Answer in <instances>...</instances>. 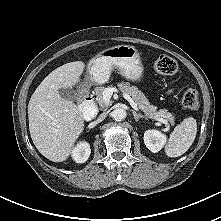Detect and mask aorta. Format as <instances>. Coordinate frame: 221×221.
<instances>
[{
  "mask_svg": "<svg viewBox=\"0 0 221 221\" xmlns=\"http://www.w3.org/2000/svg\"><path fill=\"white\" fill-rule=\"evenodd\" d=\"M111 116L115 121H121L126 118L127 114L123 108H116L112 111Z\"/></svg>",
  "mask_w": 221,
  "mask_h": 221,
  "instance_id": "1",
  "label": "aorta"
}]
</instances>
